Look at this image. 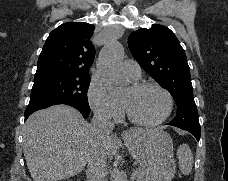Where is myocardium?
I'll return each mask as SVG.
<instances>
[{
  "label": "myocardium",
  "instance_id": "f54148a6",
  "mask_svg": "<svg viewBox=\"0 0 228 181\" xmlns=\"http://www.w3.org/2000/svg\"><path fill=\"white\" fill-rule=\"evenodd\" d=\"M130 83H131L130 88L135 91L141 90L146 87H151V88L157 89L164 97L165 106H164L163 112L161 113V115L159 117H157L153 120H142V119H139L138 117H136L132 113L128 104L126 102H124V107H125L128 118L137 125L149 126V127L156 126V125L160 124L161 122H163L169 116L171 108H172V98H171L170 94L156 82H151V81L140 82V81L130 80Z\"/></svg>",
  "mask_w": 228,
  "mask_h": 181
}]
</instances>
